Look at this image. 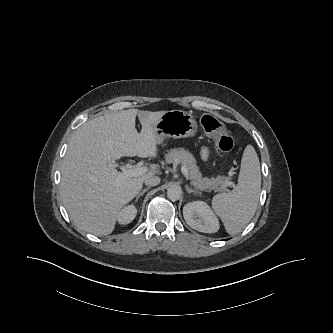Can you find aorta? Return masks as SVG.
Returning <instances> with one entry per match:
<instances>
[{"instance_id":"obj_1","label":"aorta","mask_w":333,"mask_h":333,"mask_svg":"<svg viewBox=\"0 0 333 333\" xmlns=\"http://www.w3.org/2000/svg\"><path fill=\"white\" fill-rule=\"evenodd\" d=\"M181 188L177 185H172L167 189V196L170 200L176 201L181 197Z\"/></svg>"}]
</instances>
